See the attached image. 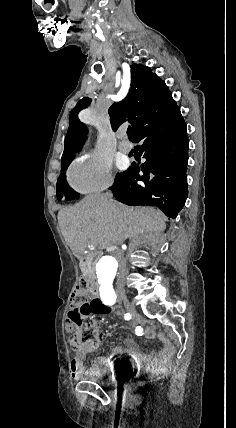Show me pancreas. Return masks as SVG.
I'll list each match as a JSON object with an SVG mask.
<instances>
[{
  "label": "pancreas",
  "instance_id": "pancreas-1",
  "mask_svg": "<svg viewBox=\"0 0 236 428\" xmlns=\"http://www.w3.org/2000/svg\"><path fill=\"white\" fill-rule=\"evenodd\" d=\"M86 266H87V264H83V262H81L80 268H81L82 272H83L84 268H86Z\"/></svg>",
  "mask_w": 236,
  "mask_h": 428
}]
</instances>
